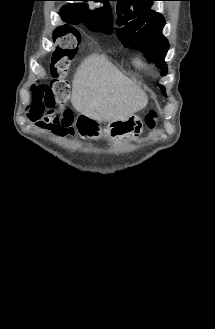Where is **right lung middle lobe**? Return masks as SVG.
<instances>
[{"mask_svg":"<svg viewBox=\"0 0 215 329\" xmlns=\"http://www.w3.org/2000/svg\"><path fill=\"white\" fill-rule=\"evenodd\" d=\"M65 22H67V21H65ZM78 22L83 23L84 21H83L81 18H79V17H75L74 20H72V21H70V22H67V23H69V24H78ZM85 24H86V23H85ZM86 25L89 27L90 30L99 31L98 29L94 28L91 24H86ZM63 31H64V33H66L67 31H72V29H71V28H67L66 30H63ZM58 35H59V34H57V35L55 36V38H56Z\"/></svg>","mask_w":215,"mask_h":329,"instance_id":"right-lung-middle-lobe-1","label":"right lung middle lobe"}]
</instances>
